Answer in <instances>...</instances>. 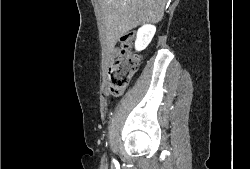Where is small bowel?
<instances>
[{
    "instance_id": "small-bowel-1",
    "label": "small bowel",
    "mask_w": 250,
    "mask_h": 169,
    "mask_svg": "<svg viewBox=\"0 0 250 169\" xmlns=\"http://www.w3.org/2000/svg\"><path fill=\"white\" fill-rule=\"evenodd\" d=\"M110 54H111V57H112V58L115 57V56L118 54V49L113 48V49L111 50ZM105 94H106V96L108 95L107 92H106Z\"/></svg>"
}]
</instances>
